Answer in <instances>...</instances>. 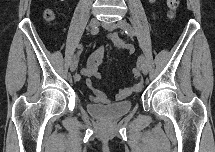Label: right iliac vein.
<instances>
[{
    "label": "right iliac vein",
    "instance_id": "obj_1",
    "mask_svg": "<svg viewBox=\"0 0 215 152\" xmlns=\"http://www.w3.org/2000/svg\"><path fill=\"white\" fill-rule=\"evenodd\" d=\"M99 25V21L98 19L96 18H92L89 22V27L90 28H95ZM77 65H78V57L77 56H74L70 62V70L71 72H74L77 68Z\"/></svg>",
    "mask_w": 215,
    "mask_h": 152
}]
</instances>
